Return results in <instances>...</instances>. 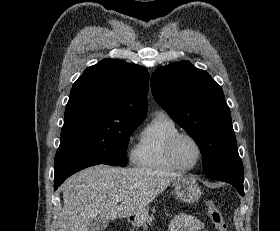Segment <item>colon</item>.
Listing matches in <instances>:
<instances>
[{
	"label": "colon",
	"mask_w": 280,
	"mask_h": 231,
	"mask_svg": "<svg viewBox=\"0 0 280 231\" xmlns=\"http://www.w3.org/2000/svg\"><path fill=\"white\" fill-rule=\"evenodd\" d=\"M206 208L216 231H227V224L217 205L212 201H206Z\"/></svg>",
	"instance_id": "obj_1"
}]
</instances>
